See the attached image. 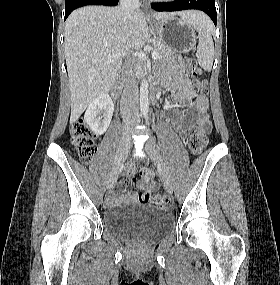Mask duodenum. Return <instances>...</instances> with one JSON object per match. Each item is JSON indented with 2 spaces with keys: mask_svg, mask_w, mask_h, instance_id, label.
<instances>
[{
  "mask_svg": "<svg viewBox=\"0 0 280 285\" xmlns=\"http://www.w3.org/2000/svg\"><path fill=\"white\" fill-rule=\"evenodd\" d=\"M151 94L153 96V99L157 100L160 94V87L158 83L152 81L151 82Z\"/></svg>",
  "mask_w": 280,
  "mask_h": 285,
  "instance_id": "1",
  "label": "duodenum"
}]
</instances>
